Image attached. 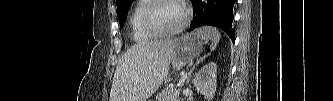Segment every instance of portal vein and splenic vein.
<instances>
[{"mask_svg":"<svg viewBox=\"0 0 333 101\" xmlns=\"http://www.w3.org/2000/svg\"><path fill=\"white\" fill-rule=\"evenodd\" d=\"M185 79H186V75H183L182 78L180 79L179 83L176 85V88L182 87L184 85Z\"/></svg>","mask_w":333,"mask_h":101,"instance_id":"obj_1","label":"portal vein and splenic vein"}]
</instances>
